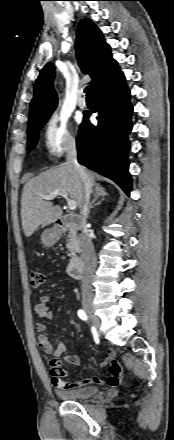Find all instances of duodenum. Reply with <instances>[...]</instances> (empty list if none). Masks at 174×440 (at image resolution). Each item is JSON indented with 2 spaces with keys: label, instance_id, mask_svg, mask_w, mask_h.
Segmentation results:
<instances>
[{
  "label": "duodenum",
  "instance_id": "410a0bca",
  "mask_svg": "<svg viewBox=\"0 0 174 440\" xmlns=\"http://www.w3.org/2000/svg\"><path fill=\"white\" fill-rule=\"evenodd\" d=\"M84 221L79 215L70 214L64 215L56 221V232L58 234L64 233L69 229L79 230L83 228ZM70 274L74 278H81L84 274V264L80 258L72 259L69 265Z\"/></svg>",
  "mask_w": 174,
  "mask_h": 440
}]
</instances>
